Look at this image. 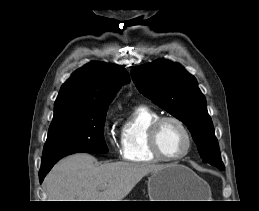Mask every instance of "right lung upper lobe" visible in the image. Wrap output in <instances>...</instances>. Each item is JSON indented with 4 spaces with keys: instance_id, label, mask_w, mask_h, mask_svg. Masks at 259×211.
<instances>
[{
    "instance_id": "obj_1",
    "label": "right lung upper lobe",
    "mask_w": 259,
    "mask_h": 211,
    "mask_svg": "<svg viewBox=\"0 0 259 211\" xmlns=\"http://www.w3.org/2000/svg\"><path fill=\"white\" fill-rule=\"evenodd\" d=\"M128 80L124 68L92 61L62 85L54 104V116L75 108L108 109L119 87Z\"/></svg>"
}]
</instances>
